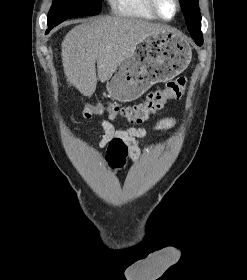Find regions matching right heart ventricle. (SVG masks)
Instances as JSON below:
<instances>
[{"label":"right heart ventricle","instance_id":"1","mask_svg":"<svg viewBox=\"0 0 247 280\" xmlns=\"http://www.w3.org/2000/svg\"><path fill=\"white\" fill-rule=\"evenodd\" d=\"M114 14L144 20L158 19L150 8L149 0H109Z\"/></svg>","mask_w":247,"mask_h":280}]
</instances>
